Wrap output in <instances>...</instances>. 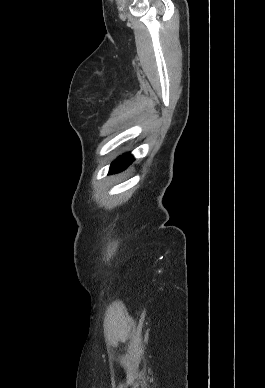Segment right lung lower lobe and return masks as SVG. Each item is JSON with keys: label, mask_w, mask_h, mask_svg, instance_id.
<instances>
[{"label": "right lung lower lobe", "mask_w": 265, "mask_h": 388, "mask_svg": "<svg viewBox=\"0 0 265 388\" xmlns=\"http://www.w3.org/2000/svg\"><path fill=\"white\" fill-rule=\"evenodd\" d=\"M133 161H134V157L131 156L130 153L120 156L117 160H115L112 163L109 174L117 173L119 171L124 170Z\"/></svg>", "instance_id": "1"}]
</instances>
